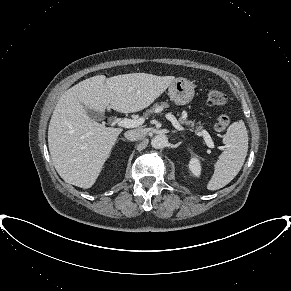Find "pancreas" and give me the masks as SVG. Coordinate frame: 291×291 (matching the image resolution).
<instances>
[{"label": "pancreas", "instance_id": "pancreas-1", "mask_svg": "<svg viewBox=\"0 0 291 291\" xmlns=\"http://www.w3.org/2000/svg\"><path fill=\"white\" fill-rule=\"evenodd\" d=\"M167 106H168L167 103H161V106H160L159 104H154L153 107L147 111V113H148V114H152V113H154V112L156 111V109H158L159 107L165 108V107H167ZM179 122L182 123V124H185V125H191V127H194V122L189 121V120H186V119H184V118H182V117L179 119ZM198 129H202V127L199 126Z\"/></svg>", "mask_w": 291, "mask_h": 291}]
</instances>
